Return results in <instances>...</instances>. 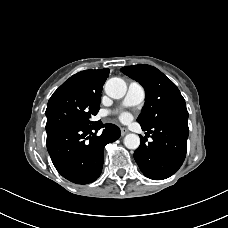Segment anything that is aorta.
I'll list each match as a JSON object with an SVG mask.
<instances>
[{"label":"aorta","instance_id":"obj_1","mask_svg":"<svg viewBox=\"0 0 228 228\" xmlns=\"http://www.w3.org/2000/svg\"><path fill=\"white\" fill-rule=\"evenodd\" d=\"M127 91V85L125 81L118 77L110 78L105 83L106 94L114 99L122 98ZM124 145L128 149H137L140 145V138L136 134H127L124 138Z\"/></svg>","mask_w":228,"mask_h":228}]
</instances>
